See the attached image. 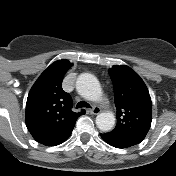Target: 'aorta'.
<instances>
[{"label":"aorta","mask_w":176,"mask_h":176,"mask_svg":"<svg viewBox=\"0 0 176 176\" xmlns=\"http://www.w3.org/2000/svg\"><path fill=\"white\" fill-rule=\"evenodd\" d=\"M85 85L83 86L84 96L93 102L100 103L103 101V92L96 79L86 77ZM115 122V117L112 112L105 111L100 113L96 118V124L103 131L110 130Z\"/></svg>","instance_id":"aorta-1"}]
</instances>
